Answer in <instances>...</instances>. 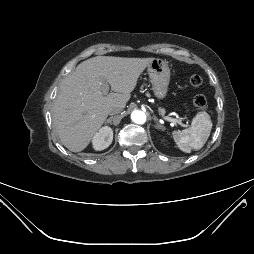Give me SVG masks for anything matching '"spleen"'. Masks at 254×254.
I'll list each match as a JSON object with an SVG mask.
<instances>
[{"label":"spleen","mask_w":254,"mask_h":254,"mask_svg":"<svg viewBox=\"0 0 254 254\" xmlns=\"http://www.w3.org/2000/svg\"><path fill=\"white\" fill-rule=\"evenodd\" d=\"M212 129L210 115L201 111L192 120L191 127L182 131H173V139L180 150L190 153L192 149L199 150L207 142Z\"/></svg>","instance_id":"obj_1"}]
</instances>
